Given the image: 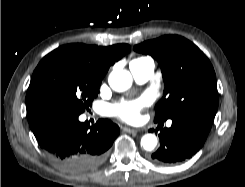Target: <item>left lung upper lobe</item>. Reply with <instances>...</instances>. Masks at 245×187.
Listing matches in <instances>:
<instances>
[{
    "label": "left lung upper lobe",
    "instance_id": "obj_1",
    "mask_svg": "<svg viewBox=\"0 0 245 187\" xmlns=\"http://www.w3.org/2000/svg\"><path fill=\"white\" fill-rule=\"evenodd\" d=\"M134 50L151 55L161 67L165 89L155 107L154 122L195 114L215 116V72L195 44L178 35H166L136 45Z\"/></svg>",
    "mask_w": 245,
    "mask_h": 187
}]
</instances>
